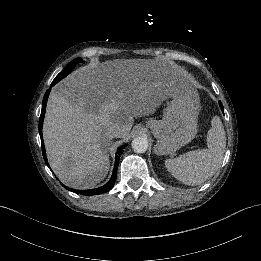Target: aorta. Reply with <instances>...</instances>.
<instances>
[{
  "mask_svg": "<svg viewBox=\"0 0 261 261\" xmlns=\"http://www.w3.org/2000/svg\"><path fill=\"white\" fill-rule=\"evenodd\" d=\"M148 146L149 144L146 136L136 137L131 143L133 151L138 154L145 153L148 150Z\"/></svg>",
  "mask_w": 261,
  "mask_h": 261,
  "instance_id": "762f6f07",
  "label": "aorta"
}]
</instances>
